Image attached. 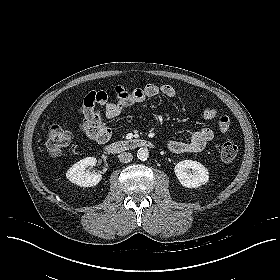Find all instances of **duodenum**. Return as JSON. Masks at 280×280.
<instances>
[{"label": "duodenum", "instance_id": "duodenum-1", "mask_svg": "<svg viewBox=\"0 0 280 280\" xmlns=\"http://www.w3.org/2000/svg\"><path fill=\"white\" fill-rule=\"evenodd\" d=\"M153 146V143L147 139H127L108 144L105 147V152L108 154H119L140 148H151Z\"/></svg>", "mask_w": 280, "mask_h": 280}]
</instances>
